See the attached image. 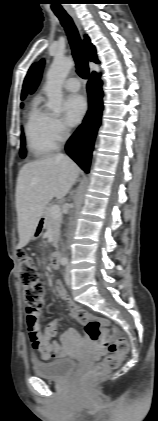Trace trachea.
<instances>
[{
	"label": "trachea",
	"mask_w": 158,
	"mask_h": 421,
	"mask_svg": "<svg viewBox=\"0 0 158 421\" xmlns=\"http://www.w3.org/2000/svg\"><path fill=\"white\" fill-rule=\"evenodd\" d=\"M64 27L68 40L72 49V55L76 63V71L80 77L87 79L89 75V67L86 59L85 51L81 44L78 30L67 13H55Z\"/></svg>",
	"instance_id": "trachea-1"
}]
</instances>
